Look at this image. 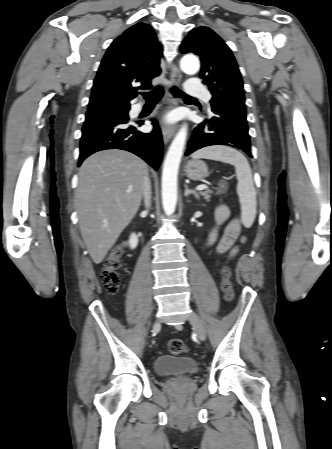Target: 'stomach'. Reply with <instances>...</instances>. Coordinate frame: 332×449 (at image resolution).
<instances>
[{"label":"stomach","instance_id":"0dacf381","mask_svg":"<svg viewBox=\"0 0 332 449\" xmlns=\"http://www.w3.org/2000/svg\"><path fill=\"white\" fill-rule=\"evenodd\" d=\"M185 174L191 180L200 181L207 177L209 172L207 165L203 161L193 159L186 164Z\"/></svg>","mask_w":332,"mask_h":449}]
</instances>
